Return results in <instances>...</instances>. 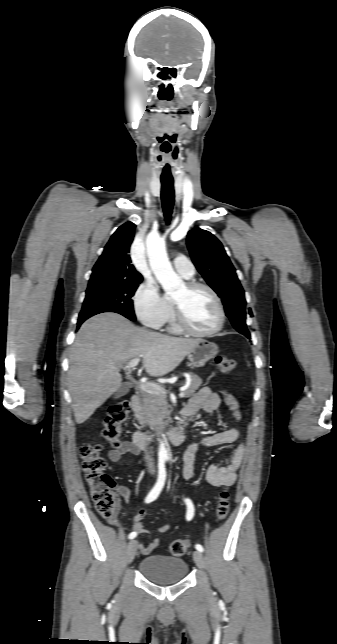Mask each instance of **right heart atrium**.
<instances>
[{
    "label": "right heart atrium",
    "instance_id": "obj_1",
    "mask_svg": "<svg viewBox=\"0 0 337 644\" xmlns=\"http://www.w3.org/2000/svg\"><path fill=\"white\" fill-rule=\"evenodd\" d=\"M135 312L139 320L147 327L160 328L168 315L169 304L161 294L154 280H146L139 285L134 295Z\"/></svg>",
    "mask_w": 337,
    "mask_h": 644
}]
</instances>
